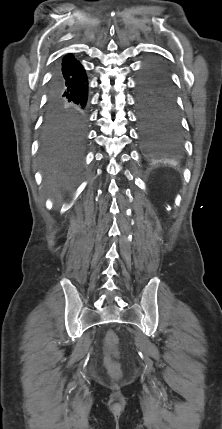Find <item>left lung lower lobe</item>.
<instances>
[{
  "mask_svg": "<svg viewBox=\"0 0 222 429\" xmlns=\"http://www.w3.org/2000/svg\"><path fill=\"white\" fill-rule=\"evenodd\" d=\"M136 108L141 144L149 155L174 152L181 143L176 92L166 66L152 60L137 78Z\"/></svg>",
  "mask_w": 222,
  "mask_h": 429,
  "instance_id": "0a47b994",
  "label": "left lung lower lobe"
}]
</instances>
